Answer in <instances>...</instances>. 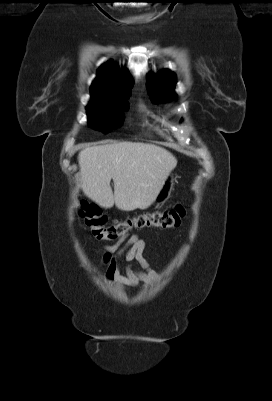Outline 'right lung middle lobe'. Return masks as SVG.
Here are the masks:
<instances>
[{
	"label": "right lung middle lobe",
	"mask_w": 272,
	"mask_h": 401,
	"mask_svg": "<svg viewBox=\"0 0 272 401\" xmlns=\"http://www.w3.org/2000/svg\"><path fill=\"white\" fill-rule=\"evenodd\" d=\"M129 96L126 94L91 100L86 108L90 125L104 133L120 127L124 120L123 112L128 110L126 100Z\"/></svg>",
	"instance_id": "dd1d6c3e"
}]
</instances>
